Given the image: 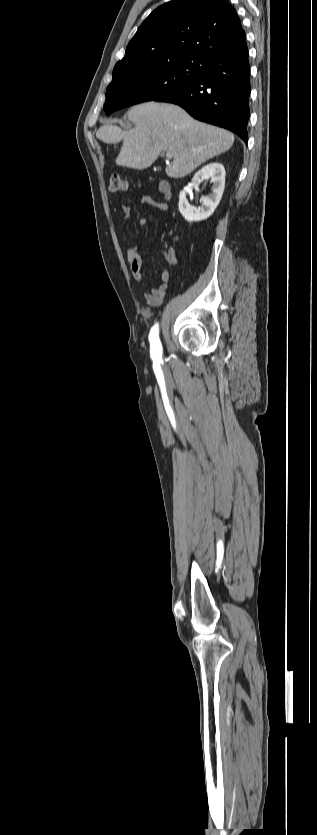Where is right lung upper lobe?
Returning <instances> with one entry per match:
<instances>
[{"mask_svg":"<svg viewBox=\"0 0 317 835\" xmlns=\"http://www.w3.org/2000/svg\"><path fill=\"white\" fill-rule=\"evenodd\" d=\"M239 36L245 32L228 0H173L144 20L113 75L200 59Z\"/></svg>","mask_w":317,"mask_h":835,"instance_id":"obj_1","label":"right lung upper lobe"}]
</instances>
